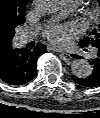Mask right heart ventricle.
<instances>
[{
	"mask_svg": "<svg viewBox=\"0 0 100 118\" xmlns=\"http://www.w3.org/2000/svg\"><path fill=\"white\" fill-rule=\"evenodd\" d=\"M72 1H76V2L80 3L82 0H72Z\"/></svg>",
	"mask_w": 100,
	"mask_h": 118,
	"instance_id": "obj_1",
	"label": "right heart ventricle"
}]
</instances>
